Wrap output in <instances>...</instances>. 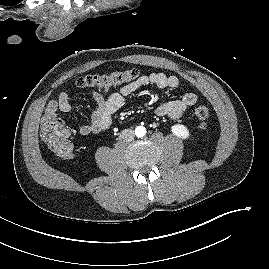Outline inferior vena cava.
Returning <instances> with one entry per match:
<instances>
[{
    "instance_id": "602c4592",
    "label": "inferior vena cava",
    "mask_w": 269,
    "mask_h": 269,
    "mask_svg": "<svg viewBox=\"0 0 269 269\" xmlns=\"http://www.w3.org/2000/svg\"><path fill=\"white\" fill-rule=\"evenodd\" d=\"M135 133L131 129H125L120 133V140H123L125 142H130L134 140Z\"/></svg>"
}]
</instances>
